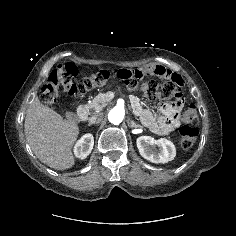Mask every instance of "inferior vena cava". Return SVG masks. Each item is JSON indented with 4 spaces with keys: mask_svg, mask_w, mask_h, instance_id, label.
Returning <instances> with one entry per match:
<instances>
[{
    "mask_svg": "<svg viewBox=\"0 0 236 236\" xmlns=\"http://www.w3.org/2000/svg\"><path fill=\"white\" fill-rule=\"evenodd\" d=\"M102 119H103V114L99 113L90 117L88 121H89V124L91 125V124L100 123Z\"/></svg>",
    "mask_w": 236,
    "mask_h": 236,
    "instance_id": "602c4592",
    "label": "inferior vena cava"
}]
</instances>
